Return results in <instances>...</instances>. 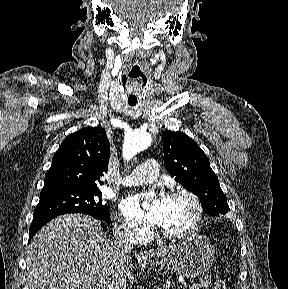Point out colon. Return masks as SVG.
<instances>
[{"mask_svg":"<svg viewBox=\"0 0 288 289\" xmlns=\"http://www.w3.org/2000/svg\"><path fill=\"white\" fill-rule=\"evenodd\" d=\"M213 289H227L223 281L217 280L213 284Z\"/></svg>","mask_w":288,"mask_h":289,"instance_id":"obj_1","label":"colon"}]
</instances>
